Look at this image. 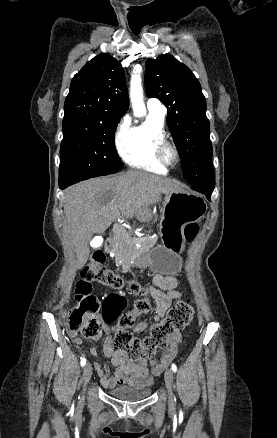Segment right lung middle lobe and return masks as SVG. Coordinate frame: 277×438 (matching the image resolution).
<instances>
[{
	"label": "right lung middle lobe",
	"mask_w": 277,
	"mask_h": 438,
	"mask_svg": "<svg viewBox=\"0 0 277 438\" xmlns=\"http://www.w3.org/2000/svg\"><path fill=\"white\" fill-rule=\"evenodd\" d=\"M118 121L63 119L59 183L74 184L108 175L123 167L115 148Z\"/></svg>",
	"instance_id": "dd1d6c3e"
}]
</instances>
